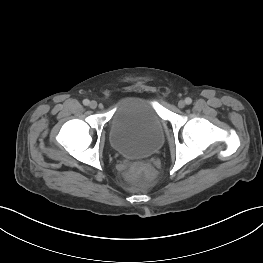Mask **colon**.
Segmentation results:
<instances>
[{"label":"colon","instance_id":"5ec220e1","mask_svg":"<svg viewBox=\"0 0 263 263\" xmlns=\"http://www.w3.org/2000/svg\"><path fill=\"white\" fill-rule=\"evenodd\" d=\"M132 172L134 174L142 175L146 179H152L155 176V170L151 166L143 163L136 164L133 167Z\"/></svg>","mask_w":263,"mask_h":263}]
</instances>
